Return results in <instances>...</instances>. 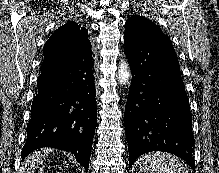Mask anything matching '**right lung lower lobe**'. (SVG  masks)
I'll return each mask as SVG.
<instances>
[{
    "label": "right lung lower lobe",
    "mask_w": 219,
    "mask_h": 173,
    "mask_svg": "<svg viewBox=\"0 0 219 173\" xmlns=\"http://www.w3.org/2000/svg\"><path fill=\"white\" fill-rule=\"evenodd\" d=\"M74 57L61 66L43 60L21 156L53 147L73 153L88 171L97 117L95 70L92 56Z\"/></svg>",
    "instance_id": "1"
}]
</instances>
